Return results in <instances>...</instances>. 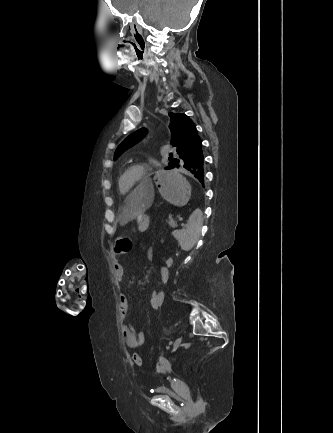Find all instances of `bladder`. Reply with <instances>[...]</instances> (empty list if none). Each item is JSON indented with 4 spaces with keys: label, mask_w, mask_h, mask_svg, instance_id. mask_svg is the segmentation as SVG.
Returning a JSON list of instances; mask_svg holds the SVG:
<instances>
[{
    "label": "bladder",
    "mask_w": 333,
    "mask_h": 433,
    "mask_svg": "<svg viewBox=\"0 0 333 433\" xmlns=\"http://www.w3.org/2000/svg\"><path fill=\"white\" fill-rule=\"evenodd\" d=\"M154 392L160 396L168 397L174 401H182L184 397L175 391H173L170 387L165 384L158 385L154 388Z\"/></svg>",
    "instance_id": "31cf9c89"
}]
</instances>
